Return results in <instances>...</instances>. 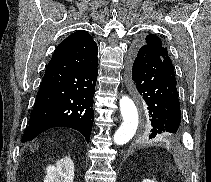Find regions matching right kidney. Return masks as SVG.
I'll use <instances>...</instances> for the list:
<instances>
[{"instance_id": "right-kidney-1", "label": "right kidney", "mask_w": 211, "mask_h": 182, "mask_svg": "<svg viewBox=\"0 0 211 182\" xmlns=\"http://www.w3.org/2000/svg\"><path fill=\"white\" fill-rule=\"evenodd\" d=\"M44 182H73L74 163L70 157H65L56 162V166H48Z\"/></svg>"}]
</instances>
